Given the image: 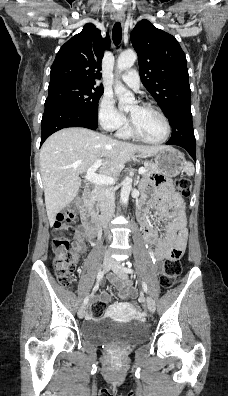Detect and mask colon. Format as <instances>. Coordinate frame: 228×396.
Here are the masks:
<instances>
[{"label": "colon", "instance_id": "obj_1", "mask_svg": "<svg viewBox=\"0 0 228 396\" xmlns=\"http://www.w3.org/2000/svg\"><path fill=\"white\" fill-rule=\"evenodd\" d=\"M175 187L182 196H189L191 182L187 177H181L175 181ZM76 205H71L61 211L54 222V238L52 239V251L54 254L53 266L59 283L69 286L75 271V254L71 251L70 236L73 234L72 224L76 216ZM183 250L173 247L169 250L168 257L163 266L160 277L162 287L169 289L175 286L179 280L182 266L181 258ZM104 306L100 302H94L89 307V317L98 318L103 314Z\"/></svg>", "mask_w": 228, "mask_h": 396}]
</instances>
